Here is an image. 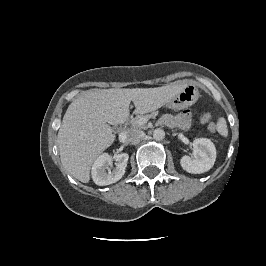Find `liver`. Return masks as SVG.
Here are the masks:
<instances>
[{"instance_id":"6515ba94","label":"liver","mask_w":266,"mask_h":266,"mask_svg":"<svg viewBox=\"0 0 266 266\" xmlns=\"http://www.w3.org/2000/svg\"><path fill=\"white\" fill-rule=\"evenodd\" d=\"M183 87L170 84L156 88L91 89L68 107L58 132L63 167L83 183L90 180L94 161L115 140L112 127L127 120L131 101L136 114L165 105Z\"/></svg>"}]
</instances>
